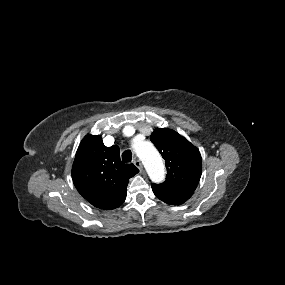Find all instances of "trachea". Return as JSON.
<instances>
[{
  "label": "trachea",
  "mask_w": 285,
  "mask_h": 285,
  "mask_svg": "<svg viewBox=\"0 0 285 285\" xmlns=\"http://www.w3.org/2000/svg\"><path fill=\"white\" fill-rule=\"evenodd\" d=\"M123 162H130L132 160V153L130 150H126L122 153Z\"/></svg>",
  "instance_id": "3493384b"
}]
</instances>
